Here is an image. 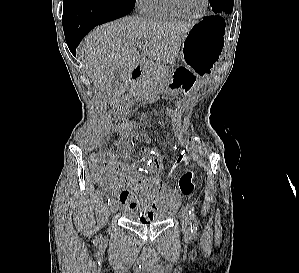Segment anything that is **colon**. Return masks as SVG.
Listing matches in <instances>:
<instances>
[{
  "label": "colon",
  "mask_w": 299,
  "mask_h": 273,
  "mask_svg": "<svg viewBox=\"0 0 299 273\" xmlns=\"http://www.w3.org/2000/svg\"><path fill=\"white\" fill-rule=\"evenodd\" d=\"M143 139L146 143L152 144V145H158L160 147L166 146V141L162 138H152L148 135L143 136ZM124 143V136L119 137L114 145L120 149ZM91 166L94 173V176L98 180H103L107 176V165L106 162H104L100 156L96 155L91 160ZM179 191L185 195L190 196L193 195L196 191V184H195V176L193 172H186L184 173L180 179H179Z\"/></svg>",
  "instance_id": "colon-1"
}]
</instances>
